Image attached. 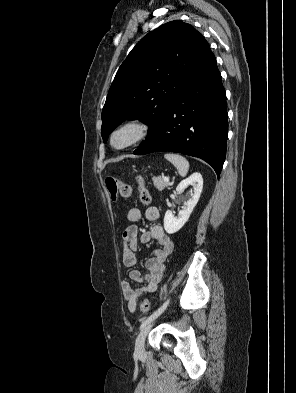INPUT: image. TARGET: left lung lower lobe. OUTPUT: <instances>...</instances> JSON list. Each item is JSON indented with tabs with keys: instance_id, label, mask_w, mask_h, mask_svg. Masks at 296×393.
Here are the masks:
<instances>
[{
	"instance_id": "obj_1",
	"label": "left lung lower lobe",
	"mask_w": 296,
	"mask_h": 393,
	"mask_svg": "<svg viewBox=\"0 0 296 393\" xmlns=\"http://www.w3.org/2000/svg\"><path fill=\"white\" fill-rule=\"evenodd\" d=\"M228 134L226 94L212 53L134 154L172 151L209 163L219 177Z\"/></svg>"
}]
</instances>
